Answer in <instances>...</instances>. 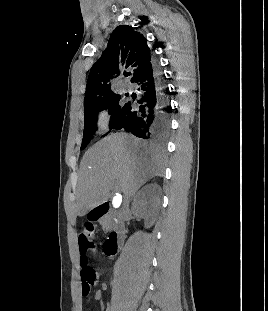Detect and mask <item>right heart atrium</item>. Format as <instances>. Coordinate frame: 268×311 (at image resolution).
Wrapping results in <instances>:
<instances>
[{"label": "right heart atrium", "mask_w": 268, "mask_h": 311, "mask_svg": "<svg viewBox=\"0 0 268 311\" xmlns=\"http://www.w3.org/2000/svg\"><path fill=\"white\" fill-rule=\"evenodd\" d=\"M99 122L102 126H107L109 123V116L107 113H101L99 116Z\"/></svg>", "instance_id": "d8ad5b80"}]
</instances>
